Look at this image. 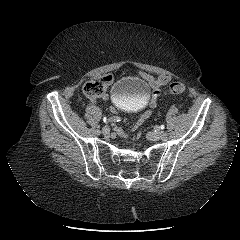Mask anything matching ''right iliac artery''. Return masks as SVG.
<instances>
[{
  "instance_id": "obj_1",
  "label": "right iliac artery",
  "mask_w": 240,
  "mask_h": 240,
  "mask_svg": "<svg viewBox=\"0 0 240 240\" xmlns=\"http://www.w3.org/2000/svg\"><path fill=\"white\" fill-rule=\"evenodd\" d=\"M112 120L114 121V122H119L120 121V118L119 117H114V118H112ZM106 122V121H105ZM94 133L96 134V135H99L100 133H101V130L99 129V128H96L95 130H94Z\"/></svg>"
}]
</instances>
